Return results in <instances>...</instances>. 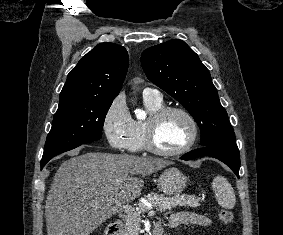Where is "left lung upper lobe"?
I'll return each mask as SVG.
<instances>
[{"mask_svg": "<svg viewBox=\"0 0 283 235\" xmlns=\"http://www.w3.org/2000/svg\"><path fill=\"white\" fill-rule=\"evenodd\" d=\"M141 64L147 78L193 116L201 130V145L235 143L211 75L184 41L174 39L146 49Z\"/></svg>", "mask_w": 283, "mask_h": 235, "instance_id": "1", "label": "left lung upper lobe"}]
</instances>
